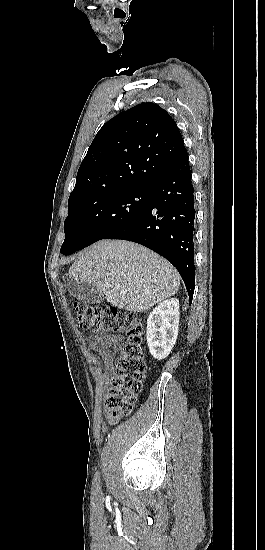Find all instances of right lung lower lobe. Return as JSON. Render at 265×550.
<instances>
[{"instance_id": "obj_1", "label": "right lung lower lobe", "mask_w": 265, "mask_h": 550, "mask_svg": "<svg viewBox=\"0 0 265 550\" xmlns=\"http://www.w3.org/2000/svg\"><path fill=\"white\" fill-rule=\"evenodd\" d=\"M194 220V190L186 151L152 183L145 209L104 239L133 241L168 259L179 271L192 302Z\"/></svg>"}]
</instances>
